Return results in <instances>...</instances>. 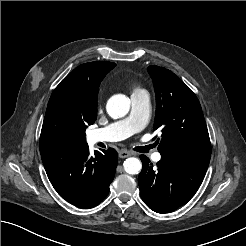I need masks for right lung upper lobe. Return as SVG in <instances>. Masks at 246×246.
<instances>
[{
    "mask_svg": "<svg viewBox=\"0 0 246 246\" xmlns=\"http://www.w3.org/2000/svg\"><path fill=\"white\" fill-rule=\"evenodd\" d=\"M115 65L104 61L85 63L60 82L47 106L40 135V151L63 142H79L68 137V123L76 116L85 119L97 117L100 82Z\"/></svg>",
    "mask_w": 246,
    "mask_h": 246,
    "instance_id": "obj_1",
    "label": "right lung upper lobe"
}]
</instances>
